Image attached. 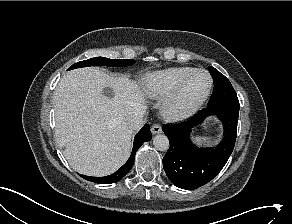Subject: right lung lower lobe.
<instances>
[{"label":"right lung lower lobe","mask_w":292,"mask_h":224,"mask_svg":"<svg viewBox=\"0 0 292 224\" xmlns=\"http://www.w3.org/2000/svg\"><path fill=\"white\" fill-rule=\"evenodd\" d=\"M151 138H152V134L150 132V128L148 124H145L134 138V144H133V149H132L130 158L115 173L105 176V177H91V176H85V175H81V177H83L84 179L88 181L99 183V184H110V183L118 182L131 170L134 163L136 151L140 148V146L145 141H150Z\"/></svg>","instance_id":"98d812e1"}]
</instances>
